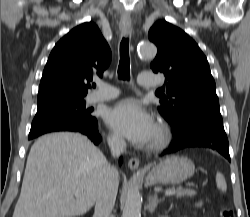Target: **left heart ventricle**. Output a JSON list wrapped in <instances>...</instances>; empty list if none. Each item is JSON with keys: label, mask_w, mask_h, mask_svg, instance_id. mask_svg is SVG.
<instances>
[{"label": "left heart ventricle", "mask_w": 250, "mask_h": 217, "mask_svg": "<svg viewBox=\"0 0 250 217\" xmlns=\"http://www.w3.org/2000/svg\"><path fill=\"white\" fill-rule=\"evenodd\" d=\"M154 135H155V133H154ZM154 135H153L152 139L154 138ZM152 139H151V141H152Z\"/></svg>", "instance_id": "obj_1"}]
</instances>
